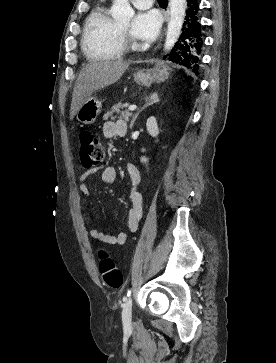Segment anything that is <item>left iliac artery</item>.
<instances>
[{
  "label": "left iliac artery",
  "mask_w": 276,
  "mask_h": 363,
  "mask_svg": "<svg viewBox=\"0 0 276 363\" xmlns=\"http://www.w3.org/2000/svg\"><path fill=\"white\" fill-rule=\"evenodd\" d=\"M130 294H131V290H128V292H127V297H129L130 296ZM127 297H125V300H126V298Z\"/></svg>",
  "instance_id": "left-iliac-artery-1"
}]
</instances>
